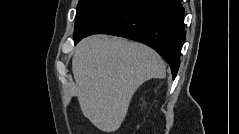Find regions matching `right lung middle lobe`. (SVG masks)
I'll return each mask as SVG.
<instances>
[{"mask_svg":"<svg viewBox=\"0 0 239 134\" xmlns=\"http://www.w3.org/2000/svg\"><path fill=\"white\" fill-rule=\"evenodd\" d=\"M120 0H79L74 40L83 36L89 28Z\"/></svg>","mask_w":239,"mask_h":134,"instance_id":"right-lung-middle-lobe-1","label":"right lung middle lobe"}]
</instances>
